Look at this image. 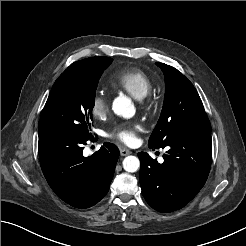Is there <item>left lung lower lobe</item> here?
<instances>
[{
  "instance_id": "obj_1",
  "label": "left lung lower lobe",
  "mask_w": 246,
  "mask_h": 246,
  "mask_svg": "<svg viewBox=\"0 0 246 246\" xmlns=\"http://www.w3.org/2000/svg\"><path fill=\"white\" fill-rule=\"evenodd\" d=\"M165 147L162 164L145 152L138 153L139 181L147 203L168 213L185 206L205 184L211 166V135L175 137L161 148Z\"/></svg>"
}]
</instances>
